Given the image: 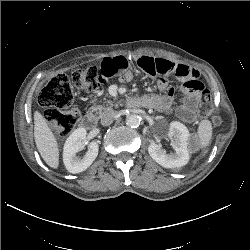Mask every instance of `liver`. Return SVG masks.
<instances>
[{
  "label": "liver",
  "mask_w": 250,
  "mask_h": 250,
  "mask_svg": "<svg viewBox=\"0 0 250 250\" xmlns=\"http://www.w3.org/2000/svg\"><path fill=\"white\" fill-rule=\"evenodd\" d=\"M34 139L37 149L46 164L51 168H58L59 148L57 140L46 119L39 111L34 113Z\"/></svg>",
  "instance_id": "liver-1"
}]
</instances>
